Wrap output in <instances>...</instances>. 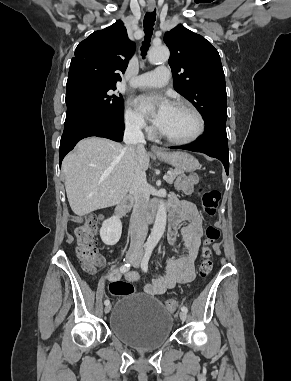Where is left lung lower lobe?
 Segmentation results:
<instances>
[{
	"instance_id": "0a47b994",
	"label": "left lung lower lobe",
	"mask_w": 291,
	"mask_h": 381,
	"mask_svg": "<svg viewBox=\"0 0 291 381\" xmlns=\"http://www.w3.org/2000/svg\"><path fill=\"white\" fill-rule=\"evenodd\" d=\"M171 148L202 152L211 157H215L222 161L228 175L229 155L226 127L205 128L204 134L195 143Z\"/></svg>"
}]
</instances>
